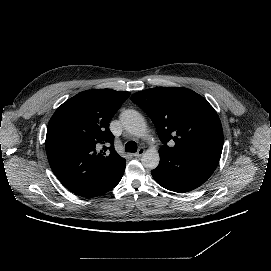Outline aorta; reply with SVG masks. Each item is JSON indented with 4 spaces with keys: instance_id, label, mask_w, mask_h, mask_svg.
<instances>
[{
    "instance_id": "obj_1",
    "label": "aorta",
    "mask_w": 271,
    "mask_h": 271,
    "mask_svg": "<svg viewBox=\"0 0 271 271\" xmlns=\"http://www.w3.org/2000/svg\"><path fill=\"white\" fill-rule=\"evenodd\" d=\"M120 119L126 131L134 136L142 138L148 131L146 120L138 111L126 110L121 114ZM159 161L158 147L148 148L141 157L142 165L147 169H155Z\"/></svg>"
}]
</instances>
